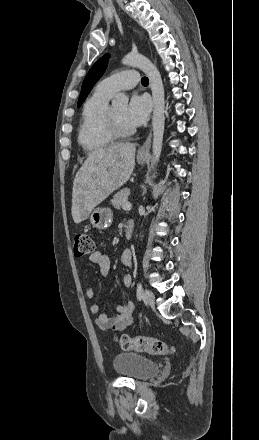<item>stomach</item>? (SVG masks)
Instances as JSON below:
<instances>
[{"mask_svg":"<svg viewBox=\"0 0 259 440\" xmlns=\"http://www.w3.org/2000/svg\"><path fill=\"white\" fill-rule=\"evenodd\" d=\"M146 157H137L139 164H144L146 162ZM90 224L97 229L103 230L111 226L113 221V213L110 208L98 207L94 209L89 216Z\"/></svg>","mask_w":259,"mask_h":440,"instance_id":"stomach-1","label":"stomach"}]
</instances>
